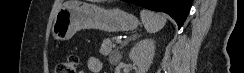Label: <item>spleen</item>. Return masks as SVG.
<instances>
[{"mask_svg":"<svg viewBox=\"0 0 244 73\" xmlns=\"http://www.w3.org/2000/svg\"><path fill=\"white\" fill-rule=\"evenodd\" d=\"M140 17L145 29L149 33H156L160 31L167 22L164 15L145 9L140 12Z\"/></svg>","mask_w":244,"mask_h":73,"instance_id":"3e777b00","label":"spleen"}]
</instances>
